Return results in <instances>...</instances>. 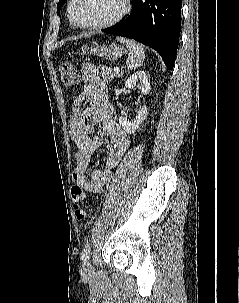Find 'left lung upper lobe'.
Returning a JSON list of instances; mask_svg holds the SVG:
<instances>
[{
    "mask_svg": "<svg viewBox=\"0 0 239 303\" xmlns=\"http://www.w3.org/2000/svg\"><path fill=\"white\" fill-rule=\"evenodd\" d=\"M66 0H59L57 12H59L60 7L64 4Z\"/></svg>",
    "mask_w": 239,
    "mask_h": 303,
    "instance_id": "5c2ea615",
    "label": "left lung upper lobe"
}]
</instances>
